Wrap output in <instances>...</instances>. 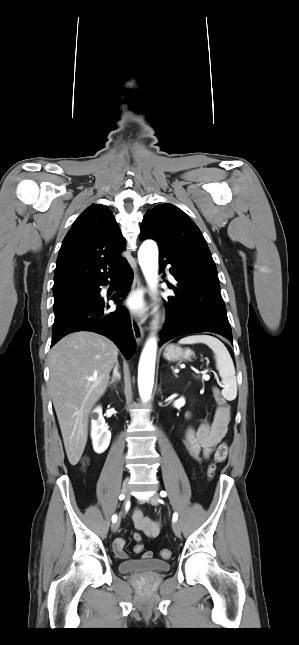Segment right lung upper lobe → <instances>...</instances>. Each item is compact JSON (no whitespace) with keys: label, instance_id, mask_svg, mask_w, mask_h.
Instances as JSON below:
<instances>
[{"label":"right lung upper lobe","instance_id":"obj_1","mask_svg":"<svg viewBox=\"0 0 299 645\" xmlns=\"http://www.w3.org/2000/svg\"><path fill=\"white\" fill-rule=\"evenodd\" d=\"M125 244L110 209L92 204L75 220L62 242L53 291L94 284L113 274L126 261L119 255Z\"/></svg>","mask_w":299,"mask_h":645}]
</instances>
